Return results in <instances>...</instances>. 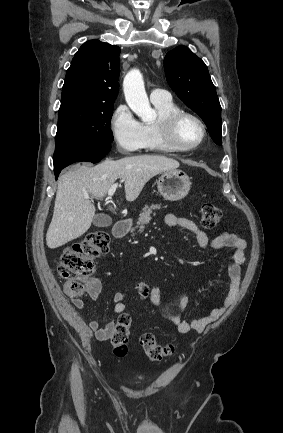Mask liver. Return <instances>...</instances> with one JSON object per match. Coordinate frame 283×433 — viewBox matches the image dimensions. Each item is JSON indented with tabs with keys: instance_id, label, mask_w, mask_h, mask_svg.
Instances as JSON below:
<instances>
[{
	"instance_id": "1",
	"label": "liver",
	"mask_w": 283,
	"mask_h": 433,
	"mask_svg": "<svg viewBox=\"0 0 283 433\" xmlns=\"http://www.w3.org/2000/svg\"><path fill=\"white\" fill-rule=\"evenodd\" d=\"M178 166L175 158L139 154L120 160L106 158L96 166L83 162L76 170L65 172L58 178L53 217L46 235L47 247H62L90 229L95 206L85 196H105L115 180L122 178L126 200H135L152 176L165 170H176Z\"/></svg>"
}]
</instances>
